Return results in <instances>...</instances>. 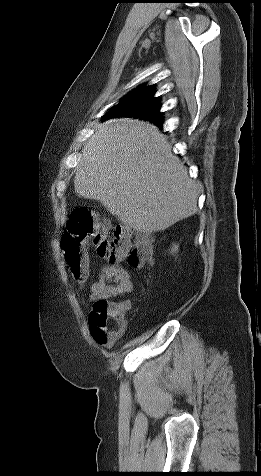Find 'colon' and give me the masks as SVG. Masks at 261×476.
I'll return each mask as SVG.
<instances>
[{
  "mask_svg": "<svg viewBox=\"0 0 261 476\" xmlns=\"http://www.w3.org/2000/svg\"><path fill=\"white\" fill-rule=\"evenodd\" d=\"M90 246L99 257L111 262L127 260L134 269L143 267L152 258V245L147 237L126 226L111 228L91 209L79 207L73 210L62 238L65 261L71 276L78 282L87 277V248ZM125 311L121 303L102 300L93 304L90 329L97 343L111 346L117 341L125 328Z\"/></svg>",
  "mask_w": 261,
  "mask_h": 476,
  "instance_id": "5ec220e1",
  "label": "colon"
}]
</instances>
